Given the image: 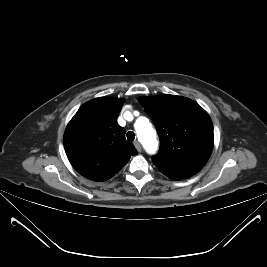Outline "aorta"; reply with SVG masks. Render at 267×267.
Here are the masks:
<instances>
[{
    "label": "aorta",
    "mask_w": 267,
    "mask_h": 267,
    "mask_svg": "<svg viewBox=\"0 0 267 267\" xmlns=\"http://www.w3.org/2000/svg\"><path fill=\"white\" fill-rule=\"evenodd\" d=\"M135 130L139 141L149 153H154L158 147L156 132L153 129L149 120L145 117H140L135 122Z\"/></svg>",
    "instance_id": "aorta-1"
}]
</instances>
